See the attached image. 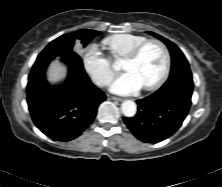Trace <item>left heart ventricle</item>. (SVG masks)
I'll list each match as a JSON object with an SVG mask.
<instances>
[{"instance_id": "obj_1", "label": "left heart ventricle", "mask_w": 222, "mask_h": 187, "mask_svg": "<svg viewBox=\"0 0 222 187\" xmlns=\"http://www.w3.org/2000/svg\"><path fill=\"white\" fill-rule=\"evenodd\" d=\"M165 56L162 49L155 44L148 45L140 57L133 61H123L122 69L132 73L142 87L156 81L163 71Z\"/></svg>"}]
</instances>
